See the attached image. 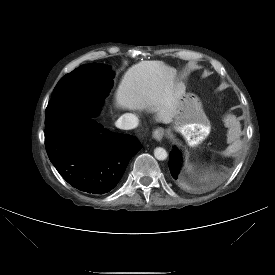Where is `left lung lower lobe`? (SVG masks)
Instances as JSON below:
<instances>
[{
    "mask_svg": "<svg viewBox=\"0 0 275 275\" xmlns=\"http://www.w3.org/2000/svg\"><path fill=\"white\" fill-rule=\"evenodd\" d=\"M180 160H181L180 153L178 150L174 148L173 151L170 153L169 169L173 179L175 180L178 179V175L180 172V168H181Z\"/></svg>",
    "mask_w": 275,
    "mask_h": 275,
    "instance_id": "0a47b994",
    "label": "left lung lower lobe"
}]
</instances>
